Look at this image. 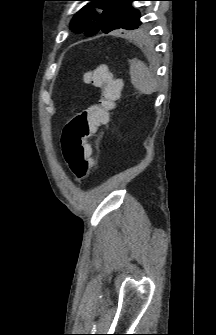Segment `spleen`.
<instances>
[{
    "label": "spleen",
    "mask_w": 216,
    "mask_h": 335,
    "mask_svg": "<svg viewBox=\"0 0 216 335\" xmlns=\"http://www.w3.org/2000/svg\"><path fill=\"white\" fill-rule=\"evenodd\" d=\"M132 85L141 93L151 95L157 90V80L150 69L140 60L133 59L130 63Z\"/></svg>",
    "instance_id": "spleen-1"
}]
</instances>
